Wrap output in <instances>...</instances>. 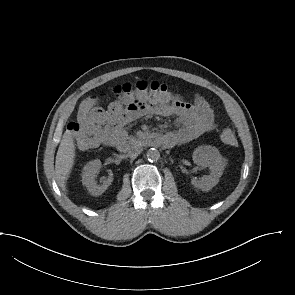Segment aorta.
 Masks as SVG:
<instances>
[{"label": "aorta", "mask_w": 295, "mask_h": 295, "mask_svg": "<svg viewBox=\"0 0 295 295\" xmlns=\"http://www.w3.org/2000/svg\"><path fill=\"white\" fill-rule=\"evenodd\" d=\"M146 156L149 161L155 162L160 158V152L157 149L151 148L147 151Z\"/></svg>", "instance_id": "aorta-1"}]
</instances>
